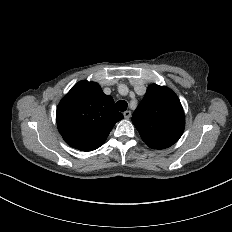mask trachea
<instances>
[{"label": "trachea", "mask_w": 232, "mask_h": 232, "mask_svg": "<svg viewBox=\"0 0 232 232\" xmlns=\"http://www.w3.org/2000/svg\"><path fill=\"white\" fill-rule=\"evenodd\" d=\"M127 107H128V103L125 100H119L116 103V108L121 112L125 111Z\"/></svg>", "instance_id": "obj_1"}]
</instances>
